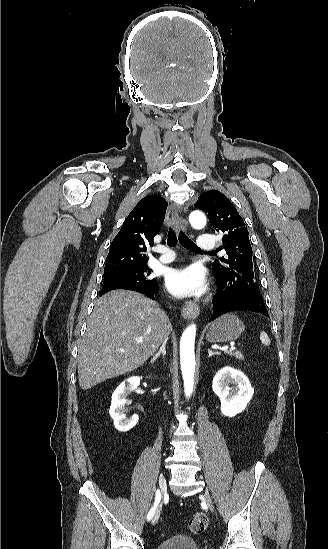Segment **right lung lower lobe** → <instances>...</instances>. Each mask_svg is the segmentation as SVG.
Returning <instances> with one entry per match:
<instances>
[{"instance_id": "obj_1", "label": "right lung lower lobe", "mask_w": 328, "mask_h": 549, "mask_svg": "<svg viewBox=\"0 0 328 549\" xmlns=\"http://www.w3.org/2000/svg\"><path fill=\"white\" fill-rule=\"evenodd\" d=\"M134 291H137V292H140V293H143L145 295H148V296H154L155 293L158 292V285L156 284H153L151 287L147 288V289H136Z\"/></svg>"}]
</instances>
